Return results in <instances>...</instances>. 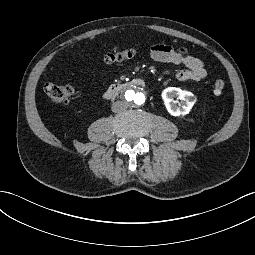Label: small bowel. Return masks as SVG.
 <instances>
[{
    "label": "small bowel",
    "mask_w": 255,
    "mask_h": 255,
    "mask_svg": "<svg viewBox=\"0 0 255 255\" xmlns=\"http://www.w3.org/2000/svg\"><path fill=\"white\" fill-rule=\"evenodd\" d=\"M149 56L157 62L184 65L185 68L176 74L180 81H200L207 76L205 63L190 55L185 48L174 49L165 42H157L150 47Z\"/></svg>",
    "instance_id": "c3829d8e"
}]
</instances>
